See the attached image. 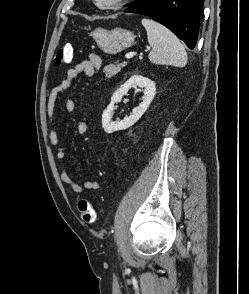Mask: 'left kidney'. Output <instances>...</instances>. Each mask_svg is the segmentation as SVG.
Wrapping results in <instances>:
<instances>
[{"label": "left kidney", "instance_id": "5707ae66", "mask_svg": "<svg viewBox=\"0 0 249 294\" xmlns=\"http://www.w3.org/2000/svg\"><path fill=\"white\" fill-rule=\"evenodd\" d=\"M134 86L144 88L142 102L134 108L129 117L121 121H112V115L115 110V103L120 102L122 97L127 94L128 90ZM156 93L155 83L147 77L133 75L126 81L111 97V102L102 114V127L106 133H113L119 130H125L134 125L148 109Z\"/></svg>", "mask_w": 249, "mask_h": 294}]
</instances>
